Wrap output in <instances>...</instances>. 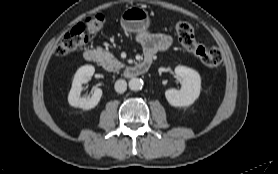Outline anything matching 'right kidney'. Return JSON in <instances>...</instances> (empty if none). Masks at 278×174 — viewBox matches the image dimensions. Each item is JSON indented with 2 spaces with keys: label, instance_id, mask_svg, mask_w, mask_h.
Listing matches in <instances>:
<instances>
[{
  "label": "right kidney",
  "instance_id": "right-kidney-1",
  "mask_svg": "<svg viewBox=\"0 0 278 174\" xmlns=\"http://www.w3.org/2000/svg\"><path fill=\"white\" fill-rule=\"evenodd\" d=\"M94 72L95 68L92 65H85L77 70L68 95V102L71 106L84 110H89L97 106L102 96V90L100 88H96L90 98L81 97L82 84L88 82Z\"/></svg>",
  "mask_w": 278,
  "mask_h": 174
}]
</instances>
